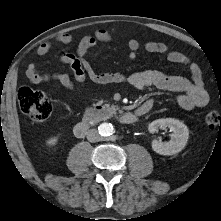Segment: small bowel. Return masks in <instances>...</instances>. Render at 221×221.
Returning <instances> with one entry per match:
<instances>
[{"instance_id":"small-bowel-1","label":"small bowel","mask_w":221,"mask_h":221,"mask_svg":"<svg viewBox=\"0 0 221 221\" xmlns=\"http://www.w3.org/2000/svg\"><path fill=\"white\" fill-rule=\"evenodd\" d=\"M111 40L112 36L107 30L99 29L92 35L82 37L75 48V52L62 54L60 62L71 68L74 80L80 85H84L87 81L97 84L128 83L138 90L153 86L161 90L178 93L177 103L185 110L201 108L208 104L209 95L204 88L199 66L191 62L185 54L170 50L165 43L146 42L142 46L136 39H131L127 46V58L130 60L135 59L142 49L147 53L162 54L166 56L168 61L186 66L191 73V79L167 75L158 70H146L131 75L120 72H97L86 59V55L98 43L110 42ZM72 41L73 37L68 33L59 34L55 38L56 43L64 45L70 44ZM51 48L52 42L45 41L37 47L36 53L39 56H44L50 52ZM26 77L32 84L52 81L58 82L68 90H73L75 87L73 80L68 74L61 72L42 73L35 63L28 64ZM152 106L153 101L149 99L137 109V112L142 113L144 107H148L150 110Z\"/></svg>"}]
</instances>
